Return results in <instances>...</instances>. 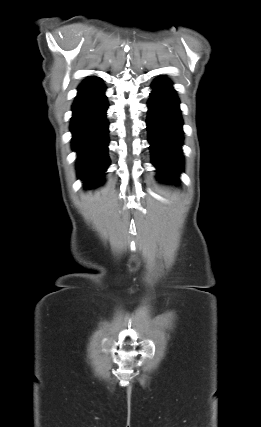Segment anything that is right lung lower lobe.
I'll list each match as a JSON object with an SVG mask.
<instances>
[{
    "instance_id": "right-lung-lower-lobe-1",
    "label": "right lung lower lobe",
    "mask_w": 261,
    "mask_h": 427,
    "mask_svg": "<svg viewBox=\"0 0 261 427\" xmlns=\"http://www.w3.org/2000/svg\"><path fill=\"white\" fill-rule=\"evenodd\" d=\"M104 90L100 78L89 77L79 86L72 107L70 130L73 133L72 147L78 152V175L87 187L92 188L103 183L104 172L110 165L105 118L108 103Z\"/></svg>"
}]
</instances>
